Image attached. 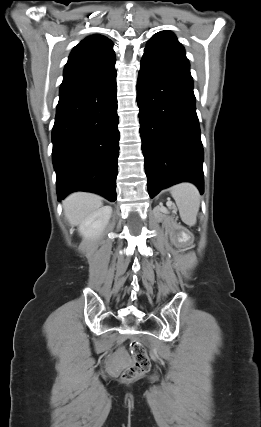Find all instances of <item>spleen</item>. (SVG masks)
<instances>
[{
  "instance_id": "1",
  "label": "spleen",
  "mask_w": 261,
  "mask_h": 427,
  "mask_svg": "<svg viewBox=\"0 0 261 427\" xmlns=\"http://www.w3.org/2000/svg\"><path fill=\"white\" fill-rule=\"evenodd\" d=\"M171 195L179 209L181 220L188 226H194L200 207V194L191 183H181L171 188Z\"/></svg>"
}]
</instances>
